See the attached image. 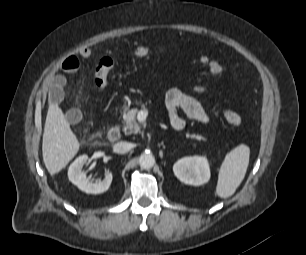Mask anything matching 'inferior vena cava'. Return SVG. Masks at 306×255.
<instances>
[{
	"instance_id": "inferior-vena-cava-1",
	"label": "inferior vena cava",
	"mask_w": 306,
	"mask_h": 255,
	"mask_svg": "<svg viewBox=\"0 0 306 255\" xmlns=\"http://www.w3.org/2000/svg\"><path fill=\"white\" fill-rule=\"evenodd\" d=\"M133 147V144L128 142H118L113 146V150L116 153L124 154L130 151Z\"/></svg>"
}]
</instances>
